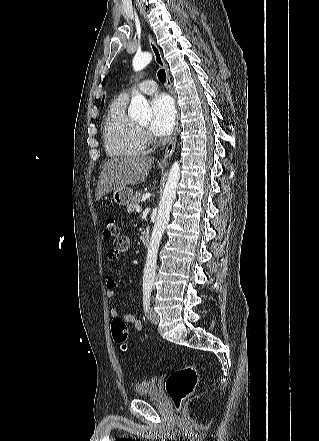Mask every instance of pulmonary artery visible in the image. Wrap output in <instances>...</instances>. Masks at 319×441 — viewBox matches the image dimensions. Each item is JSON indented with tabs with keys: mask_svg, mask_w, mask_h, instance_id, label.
I'll use <instances>...</instances> for the list:
<instances>
[{
	"mask_svg": "<svg viewBox=\"0 0 319 441\" xmlns=\"http://www.w3.org/2000/svg\"><path fill=\"white\" fill-rule=\"evenodd\" d=\"M158 87L155 81L153 80H145L137 84L135 87L131 88L128 91H124L121 95L123 97H128L132 92L138 91L143 94H154L157 91Z\"/></svg>",
	"mask_w": 319,
	"mask_h": 441,
	"instance_id": "obj_1",
	"label": "pulmonary artery"
}]
</instances>
